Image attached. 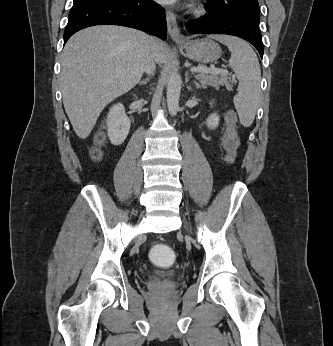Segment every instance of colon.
Returning <instances> with one entry per match:
<instances>
[{
  "instance_id": "1",
  "label": "colon",
  "mask_w": 333,
  "mask_h": 346,
  "mask_svg": "<svg viewBox=\"0 0 333 346\" xmlns=\"http://www.w3.org/2000/svg\"><path fill=\"white\" fill-rule=\"evenodd\" d=\"M227 122V128L222 136V146L225 151V161L233 163L239 146V138L235 128V115L233 113L228 115ZM91 155L94 159H99L101 157L100 149L94 147L91 150ZM170 248V244H155L150 254V259L155 261V268L173 267L172 260L175 259V254Z\"/></svg>"
}]
</instances>
